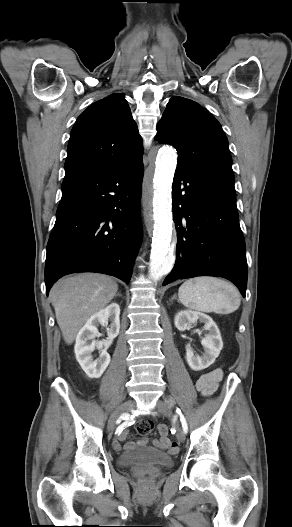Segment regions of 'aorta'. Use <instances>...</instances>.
<instances>
[{"label":"aorta","instance_id":"obj_1","mask_svg":"<svg viewBox=\"0 0 292 527\" xmlns=\"http://www.w3.org/2000/svg\"><path fill=\"white\" fill-rule=\"evenodd\" d=\"M177 154L172 147L159 150L155 168L150 169L143 183L145 198L153 207V238L151 249V269L154 279H160L173 267L172 258V212L171 191Z\"/></svg>","mask_w":292,"mask_h":527}]
</instances>
